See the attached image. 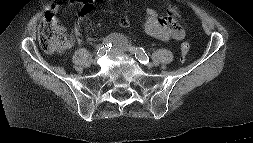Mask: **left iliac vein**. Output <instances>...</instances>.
<instances>
[{
  "label": "left iliac vein",
  "instance_id": "4c4485c4",
  "mask_svg": "<svg viewBox=\"0 0 253 143\" xmlns=\"http://www.w3.org/2000/svg\"><path fill=\"white\" fill-rule=\"evenodd\" d=\"M130 51L132 52V47H130ZM147 66H148L149 68H151V67L153 66V64H152V63H147Z\"/></svg>",
  "mask_w": 253,
  "mask_h": 143
}]
</instances>
